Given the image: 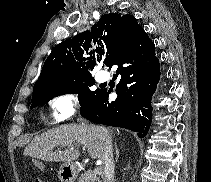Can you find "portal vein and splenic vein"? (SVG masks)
I'll use <instances>...</instances> for the list:
<instances>
[{
    "instance_id": "18ae733b",
    "label": "portal vein and splenic vein",
    "mask_w": 211,
    "mask_h": 182,
    "mask_svg": "<svg viewBox=\"0 0 211 182\" xmlns=\"http://www.w3.org/2000/svg\"><path fill=\"white\" fill-rule=\"evenodd\" d=\"M71 149H74V148H71ZM96 173H98V174L101 173V169L99 167L96 169Z\"/></svg>"
}]
</instances>
